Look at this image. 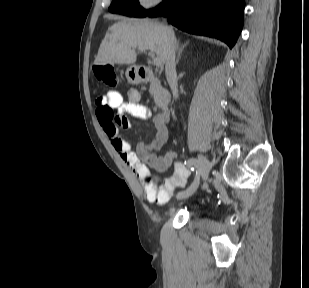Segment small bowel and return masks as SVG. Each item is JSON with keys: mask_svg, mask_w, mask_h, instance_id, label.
I'll list each match as a JSON object with an SVG mask.
<instances>
[{"mask_svg": "<svg viewBox=\"0 0 309 288\" xmlns=\"http://www.w3.org/2000/svg\"><path fill=\"white\" fill-rule=\"evenodd\" d=\"M95 106L97 118L103 128L104 134L109 138L112 147L138 177L144 179L148 175L149 170L147 165L159 172H164L174 164L173 175L169 179H166L159 189L153 185L144 186V195L148 202L164 204L170 199L176 188L185 186L189 172L176 161V154L172 151L167 152L163 156H157L152 153L154 150L161 149L168 140L167 112H158L154 119L155 134L149 136L147 142H140L136 146V149L133 150L125 137L120 134V125L115 123L110 110L118 109L120 112L129 114L135 118L148 119L151 112L146 106L140 103L139 93L134 89L130 90L127 93L126 101H124L118 91H110L98 98ZM130 126V121H127L122 127L128 128Z\"/></svg>", "mask_w": 309, "mask_h": 288, "instance_id": "c3829d8e", "label": "small bowel"}]
</instances>
